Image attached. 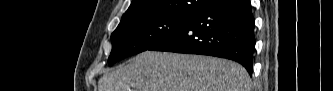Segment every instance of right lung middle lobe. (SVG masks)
<instances>
[{
  "instance_id": "obj_1",
  "label": "right lung middle lobe",
  "mask_w": 333,
  "mask_h": 91,
  "mask_svg": "<svg viewBox=\"0 0 333 91\" xmlns=\"http://www.w3.org/2000/svg\"><path fill=\"white\" fill-rule=\"evenodd\" d=\"M215 0H204L208 7ZM194 16L160 14L130 19L118 25L111 35L112 51L108 64L113 65L128 56L150 50L185 26Z\"/></svg>"
}]
</instances>
